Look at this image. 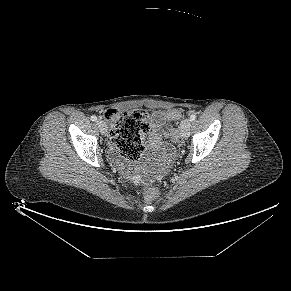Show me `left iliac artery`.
<instances>
[{
	"label": "left iliac artery",
	"mask_w": 291,
	"mask_h": 291,
	"mask_svg": "<svg viewBox=\"0 0 291 291\" xmlns=\"http://www.w3.org/2000/svg\"><path fill=\"white\" fill-rule=\"evenodd\" d=\"M195 119H196V115L193 114V115L190 116L189 121H190V122H193V121H195Z\"/></svg>",
	"instance_id": "obj_1"
}]
</instances>
